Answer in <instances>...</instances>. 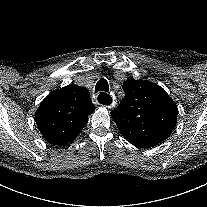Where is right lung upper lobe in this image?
<instances>
[{
    "mask_svg": "<svg viewBox=\"0 0 207 207\" xmlns=\"http://www.w3.org/2000/svg\"><path fill=\"white\" fill-rule=\"evenodd\" d=\"M95 110L89 90L68 85L51 92L35 113V121L43 137L53 145L71 143Z\"/></svg>",
    "mask_w": 207,
    "mask_h": 207,
    "instance_id": "right-lung-upper-lobe-1",
    "label": "right lung upper lobe"
}]
</instances>
